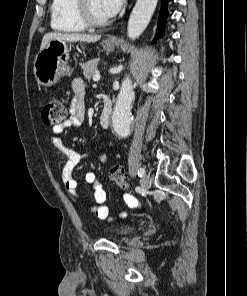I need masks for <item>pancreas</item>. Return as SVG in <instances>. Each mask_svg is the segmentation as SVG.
Instances as JSON below:
<instances>
[{"label": "pancreas", "instance_id": "cf45deb5", "mask_svg": "<svg viewBox=\"0 0 247 296\" xmlns=\"http://www.w3.org/2000/svg\"><path fill=\"white\" fill-rule=\"evenodd\" d=\"M98 59L88 61L81 64V69L83 70V75L86 79L90 80L97 73Z\"/></svg>", "mask_w": 247, "mask_h": 296}]
</instances>
